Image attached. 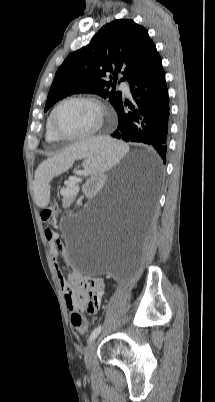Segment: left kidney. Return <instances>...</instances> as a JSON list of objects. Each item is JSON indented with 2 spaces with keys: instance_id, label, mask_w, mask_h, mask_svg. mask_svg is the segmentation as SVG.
Here are the masks:
<instances>
[{
  "instance_id": "1",
  "label": "left kidney",
  "mask_w": 215,
  "mask_h": 402,
  "mask_svg": "<svg viewBox=\"0 0 215 402\" xmlns=\"http://www.w3.org/2000/svg\"><path fill=\"white\" fill-rule=\"evenodd\" d=\"M106 175L104 169H97L93 176L87 179V184L84 185L85 193H97L98 187L103 186V179Z\"/></svg>"
}]
</instances>
